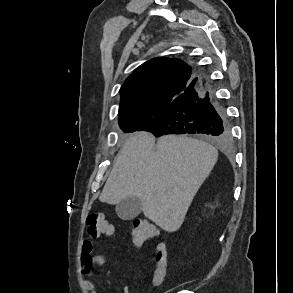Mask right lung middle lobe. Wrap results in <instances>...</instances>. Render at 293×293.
<instances>
[{
    "label": "right lung middle lobe",
    "instance_id": "1",
    "mask_svg": "<svg viewBox=\"0 0 293 293\" xmlns=\"http://www.w3.org/2000/svg\"><path fill=\"white\" fill-rule=\"evenodd\" d=\"M154 117V113L149 108H140L129 113L119 115L120 128L126 132H134L150 119Z\"/></svg>",
    "mask_w": 293,
    "mask_h": 293
}]
</instances>
